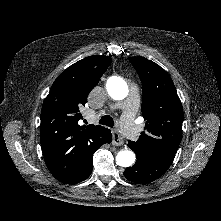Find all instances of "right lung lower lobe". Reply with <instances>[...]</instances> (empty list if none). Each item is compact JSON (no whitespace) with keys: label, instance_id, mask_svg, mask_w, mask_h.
Returning <instances> with one entry per match:
<instances>
[{"label":"right lung lower lobe","instance_id":"1","mask_svg":"<svg viewBox=\"0 0 221 221\" xmlns=\"http://www.w3.org/2000/svg\"><path fill=\"white\" fill-rule=\"evenodd\" d=\"M111 138H112L111 132H110V130H108L106 135H105V143H110ZM97 149H91L87 153V155L85 156V158L83 160V163H82L80 169L78 170L77 175L70 182H68L67 184H75V183H78V182H82L90 176V174L92 172V169H93V160H92L93 159V154L95 153V151Z\"/></svg>","mask_w":221,"mask_h":221}]
</instances>
